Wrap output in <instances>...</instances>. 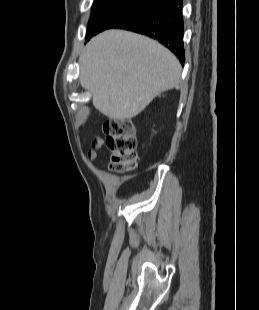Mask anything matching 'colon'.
Wrapping results in <instances>:
<instances>
[{"label":"colon","instance_id":"1","mask_svg":"<svg viewBox=\"0 0 259 310\" xmlns=\"http://www.w3.org/2000/svg\"><path fill=\"white\" fill-rule=\"evenodd\" d=\"M106 144L111 151L110 164L119 173L133 170L137 165V139L130 120H108L103 125Z\"/></svg>","mask_w":259,"mask_h":310}]
</instances>
